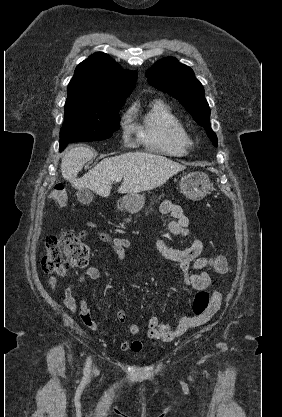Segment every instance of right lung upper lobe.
<instances>
[{"label": "right lung upper lobe", "instance_id": "right-lung-upper-lobe-1", "mask_svg": "<svg viewBox=\"0 0 282 417\" xmlns=\"http://www.w3.org/2000/svg\"><path fill=\"white\" fill-rule=\"evenodd\" d=\"M136 78V72L121 69L109 55L97 52L76 67L67 93L130 95Z\"/></svg>", "mask_w": 282, "mask_h": 417}]
</instances>
